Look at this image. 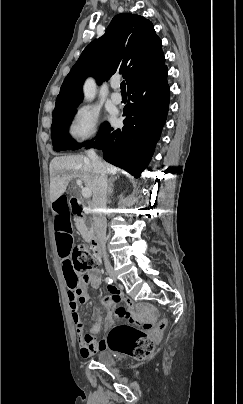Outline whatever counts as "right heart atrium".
Returning a JSON list of instances; mask_svg holds the SVG:
<instances>
[{
	"mask_svg": "<svg viewBox=\"0 0 243 404\" xmlns=\"http://www.w3.org/2000/svg\"><path fill=\"white\" fill-rule=\"evenodd\" d=\"M100 134V112L91 104L77 106L66 126L68 140L75 146L94 143Z\"/></svg>",
	"mask_w": 243,
	"mask_h": 404,
	"instance_id": "obj_1",
	"label": "right heart atrium"
}]
</instances>
